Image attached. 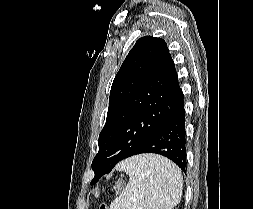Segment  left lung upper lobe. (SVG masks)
<instances>
[{"label": "left lung upper lobe", "mask_w": 253, "mask_h": 209, "mask_svg": "<svg viewBox=\"0 0 253 209\" xmlns=\"http://www.w3.org/2000/svg\"><path fill=\"white\" fill-rule=\"evenodd\" d=\"M180 92L166 42L152 36L138 39L111 86L92 182L145 144L172 113Z\"/></svg>", "instance_id": "left-lung-upper-lobe-1"}]
</instances>
